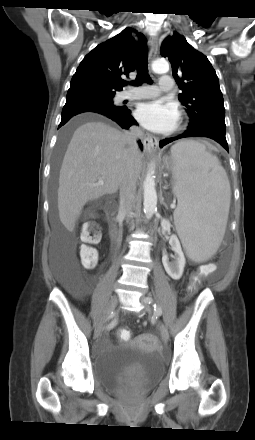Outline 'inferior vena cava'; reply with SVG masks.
I'll return each mask as SVG.
<instances>
[{"label": "inferior vena cava", "instance_id": "obj_1", "mask_svg": "<svg viewBox=\"0 0 255 440\" xmlns=\"http://www.w3.org/2000/svg\"><path fill=\"white\" fill-rule=\"evenodd\" d=\"M142 136L138 127H131L126 133L129 145V158L127 161L126 174L120 184V206L119 211L123 213L129 221L135 209L136 177L134 171V156L138 152L137 139Z\"/></svg>", "mask_w": 255, "mask_h": 440}]
</instances>
